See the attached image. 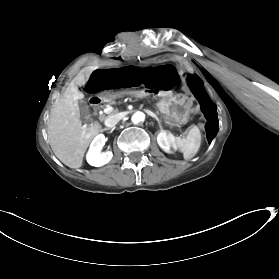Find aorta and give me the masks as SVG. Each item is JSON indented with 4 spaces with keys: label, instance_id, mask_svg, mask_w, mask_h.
<instances>
[{
    "label": "aorta",
    "instance_id": "762f6f07",
    "mask_svg": "<svg viewBox=\"0 0 279 279\" xmlns=\"http://www.w3.org/2000/svg\"><path fill=\"white\" fill-rule=\"evenodd\" d=\"M132 122L137 124L145 120V114L143 112L137 111L132 115Z\"/></svg>",
    "mask_w": 279,
    "mask_h": 279
}]
</instances>
